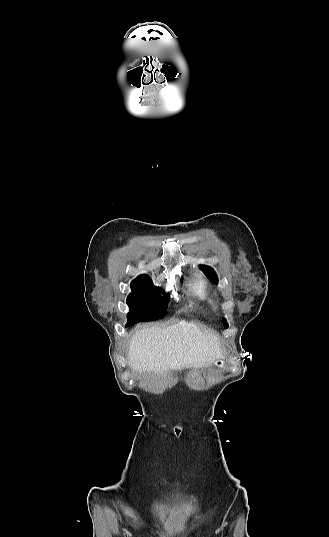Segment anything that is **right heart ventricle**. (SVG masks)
Here are the masks:
<instances>
[{
	"label": "right heart ventricle",
	"mask_w": 329,
	"mask_h": 537,
	"mask_svg": "<svg viewBox=\"0 0 329 537\" xmlns=\"http://www.w3.org/2000/svg\"><path fill=\"white\" fill-rule=\"evenodd\" d=\"M190 290L192 294L204 301H214L213 294L209 287L208 282L201 273H196L194 275L193 281L190 283Z\"/></svg>",
	"instance_id": "1"
}]
</instances>
